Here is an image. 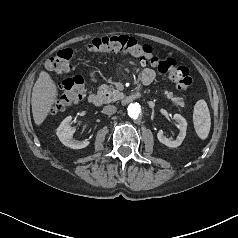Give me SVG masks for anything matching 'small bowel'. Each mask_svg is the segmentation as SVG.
Masks as SVG:
<instances>
[{"instance_id":"c3829d8e","label":"small bowel","mask_w":238,"mask_h":238,"mask_svg":"<svg viewBox=\"0 0 238 238\" xmlns=\"http://www.w3.org/2000/svg\"><path fill=\"white\" fill-rule=\"evenodd\" d=\"M133 57L139 58L137 53L131 54ZM92 82L97 81V73L95 70L90 72ZM156 79V72L152 68H145L140 74V82L143 85H150Z\"/></svg>"}]
</instances>
